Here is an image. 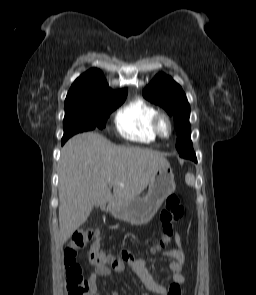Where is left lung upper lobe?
<instances>
[{
    "label": "left lung upper lobe",
    "mask_w": 256,
    "mask_h": 295,
    "mask_svg": "<svg viewBox=\"0 0 256 295\" xmlns=\"http://www.w3.org/2000/svg\"><path fill=\"white\" fill-rule=\"evenodd\" d=\"M143 96L163 107L169 115L174 116V124L178 135L176 149L181 157L187 158L188 151L193 150L190 139V105L181 86L171 77L160 73L144 89Z\"/></svg>",
    "instance_id": "obj_1"
}]
</instances>
